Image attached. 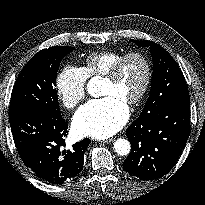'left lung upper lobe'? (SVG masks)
I'll return each instance as SVG.
<instances>
[{
    "mask_svg": "<svg viewBox=\"0 0 205 205\" xmlns=\"http://www.w3.org/2000/svg\"><path fill=\"white\" fill-rule=\"evenodd\" d=\"M131 41L138 46L150 47L153 58L150 95L136 121L156 115L163 107L175 100L189 98L188 88L182 71L163 47L147 40Z\"/></svg>",
    "mask_w": 205,
    "mask_h": 205,
    "instance_id": "obj_1",
    "label": "left lung upper lobe"
}]
</instances>
